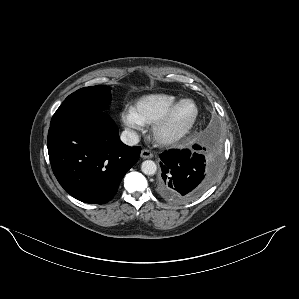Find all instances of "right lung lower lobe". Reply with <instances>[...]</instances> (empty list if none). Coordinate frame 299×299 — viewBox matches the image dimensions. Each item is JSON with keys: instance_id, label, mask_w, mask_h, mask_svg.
<instances>
[{"instance_id": "1", "label": "right lung lower lobe", "mask_w": 299, "mask_h": 299, "mask_svg": "<svg viewBox=\"0 0 299 299\" xmlns=\"http://www.w3.org/2000/svg\"><path fill=\"white\" fill-rule=\"evenodd\" d=\"M47 145L60 185L91 204L113 198L141 151L121 142L117 126L102 111L79 112L50 124Z\"/></svg>"}]
</instances>
